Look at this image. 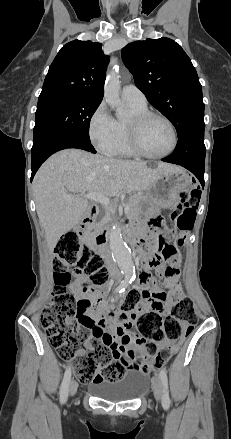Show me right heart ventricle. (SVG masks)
<instances>
[{
  "label": "right heart ventricle",
  "mask_w": 231,
  "mask_h": 439,
  "mask_svg": "<svg viewBox=\"0 0 231 439\" xmlns=\"http://www.w3.org/2000/svg\"><path fill=\"white\" fill-rule=\"evenodd\" d=\"M133 114L147 110V105H138L128 102ZM117 137L114 144L104 153L111 156L133 157L136 154L132 151L128 141V121H116Z\"/></svg>",
  "instance_id": "e07e8e85"
}]
</instances>
